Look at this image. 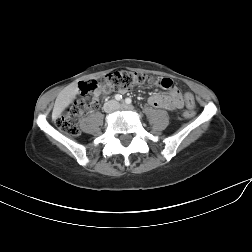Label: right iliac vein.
Returning a JSON list of instances; mask_svg holds the SVG:
<instances>
[{"instance_id":"1","label":"right iliac vein","mask_w":252,"mask_h":252,"mask_svg":"<svg viewBox=\"0 0 252 252\" xmlns=\"http://www.w3.org/2000/svg\"><path fill=\"white\" fill-rule=\"evenodd\" d=\"M116 104L114 102H110L109 105H108V108L110 110H113L115 108Z\"/></svg>"}]
</instances>
